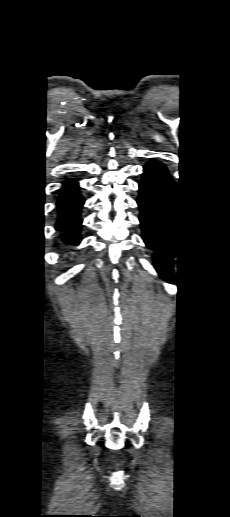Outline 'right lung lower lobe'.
<instances>
[{"label": "right lung lower lobe", "instance_id": "98d812e1", "mask_svg": "<svg viewBox=\"0 0 230 517\" xmlns=\"http://www.w3.org/2000/svg\"><path fill=\"white\" fill-rule=\"evenodd\" d=\"M61 190L56 204L59 216L55 228L63 231V240L66 243L77 245L81 240L79 237L82 223L80 209L84 204V198L80 195L79 186L75 180L65 181Z\"/></svg>", "mask_w": 230, "mask_h": 517}]
</instances>
